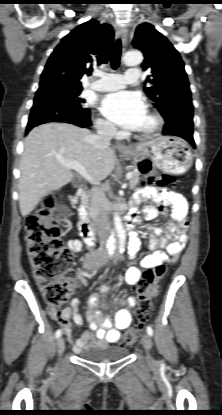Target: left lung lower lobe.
<instances>
[{"instance_id": "left-lung-lower-lobe-1", "label": "left lung lower lobe", "mask_w": 222, "mask_h": 415, "mask_svg": "<svg viewBox=\"0 0 222 415\" xmlns=\"http://www.w3.org/2000/svg\"><path fill=\"white\" fill-rule=\"evenodd\" d=\"M166 124L163 129V135L179 136L187 140L193 147V105L187 103L184 105L180 118H171L165 120Z\"/></svg>"}]
</instances>
